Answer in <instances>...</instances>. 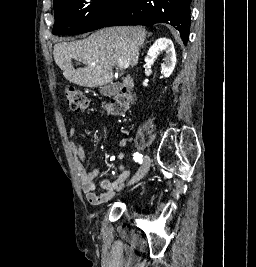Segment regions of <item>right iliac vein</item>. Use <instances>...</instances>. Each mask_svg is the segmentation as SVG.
Masks as SVG:
<instances>
[{
    "instance_id": "63e3f726",
    "label": "right iliac vein",
    "mask_w": 256,
    "mask_h": 267,
    "mask_svg": "<svg viewBox=\"0 0 256 267\" xmlns=\"http://www.w3.org/2000/svg\"><path fill=\"white\" fill-rule=\"evenodd\" d=\"M151 165V159L149 156L144 157V161L138 172L133 176V178L128 182V185H132L134 183H137L139 180H141L145 174L148 172Z\"/></svg>"
}]
</instances>
